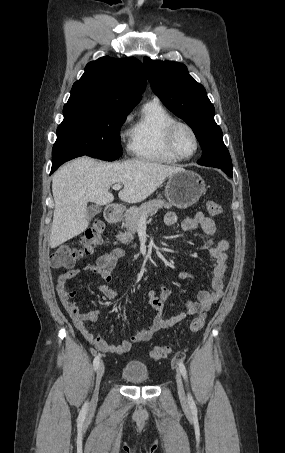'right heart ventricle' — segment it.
<instances>
[{
	"label": "right heart ventricle",
	"instance_id": "obj_1",
	"mask_svg": "<svg viewBox=\"0 0 285 453\" xmlns=\"http://www.w3.org/2000/svg\"><path fill=\"white\" fill-rule=\"evenodd\" d=\"M170 112L158 100L146 102L129 131V151L135 157L160 163L180 161L165 144V131L175 122Z\"/></svg>",
	"mask_w": 285,
	"mask_h": 453
}]
</instances>
